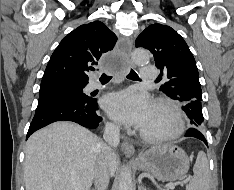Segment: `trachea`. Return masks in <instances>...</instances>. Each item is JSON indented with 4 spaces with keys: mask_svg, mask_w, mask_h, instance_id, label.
I'll return each instance as SVG.
<instances>
[{
    "mask_svg": "<svg viewBox=\"0 0 234 190\" xmlns=\"http://www.w3.org/2000/svg\"><path fill=\"white\" fill-rule=\"evenodd\" d=\"M111 78H112L111 76H108V75L103 73L101 75V77H100V80L101 81H109V80H111ZM127 78L132 79V80H138L139 79L136 72L134 70H132V69H131L130 73L127 75Z\"/></svg>",
    "mask_w": 234,
    "mask_h": 190,
    "instance_id": "trachea-1",
    "label": "trachea"
}]
</instances>
